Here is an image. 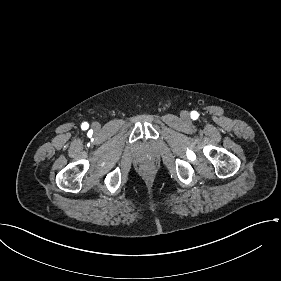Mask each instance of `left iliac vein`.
Returning a JSON list of instances; mask_svg holds the SVG:
<instances>
[{
    "instance_id": "obj_1",
    "label": "left iliac vein",
    "mask_w": 281,
    "mask_h": 281,
    "mask_svg": "<svg viewBox=\"0 0 281 281\" xmlns=\"http://www.w3.org/2000/svg\"><path fill=\"white\" fill-rule=\"evenodd\" d=\"M182 115H183L184 118H187L189 114L187 112H183Z\"/></svg>"
}]
</instances>
